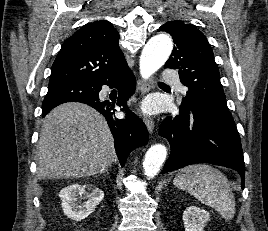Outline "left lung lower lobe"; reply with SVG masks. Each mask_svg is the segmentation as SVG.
I'll return each instance as SVG.
<instances>
[{
  "instance_id": "obj_1",
  "label": "left lung lower lobe",
  "mask_w": 268,
  "mask_h": 231,
  "mask_svg": "<svg viewBox=\"0 0 268 231\" xmlns=\"http://www.w3.org/2000/svg\"><path fill=\"white\" fill-rule=\"evenodd\" d=\"M171 146L162 174L194 163H210L236 170L244 188V160L235 124L192 109L165 119L159 129Z\"/></svg>"
}]
</instances>
